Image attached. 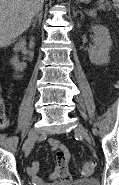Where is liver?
Returning <instances> with one entry per match:
<instances>
[{"label": "liver", "mask_w": 119, "mask_h": 185, "mask_svg": "<svg viewBox=\"0 0 119 185\" xmlns=\"http://www.w3.org/2000/svg\"><path fill=\"white\" fill-rule=\"evenodd\" d=\"M44 0H0V47H6L26 31Z\"/></svg>", "instance_id": "6515ba94"}]
</instances>
